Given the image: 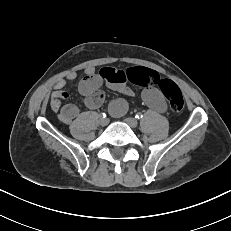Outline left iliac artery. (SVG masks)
<instances>
[{"mask_svg": "<svg viewBox=\"0 0 231 231\" xmlns=\"http://www.w3.org/2000/svg\"><path fill=\"white\" fill-rule=\"evenodd\" d=\"M135 117H136L137 119H142V118H143V115H142V113H137Z\"/></svg>", "mask_w": 231, "mask_h": 231, "instance_id": "obj_1", "label": "left iliac artery"}]
</instances>
